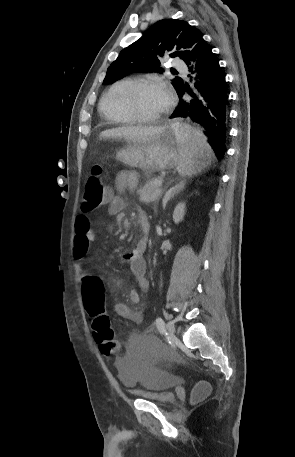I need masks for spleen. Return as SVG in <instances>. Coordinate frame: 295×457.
Instances as JSON below:
<instances>
[{
  "label": "spleen",
  "instance_id": "spleen-1",
  "mask_svg": "<svg viewBox=\"0 0 295 457\" xmlns=\"http://www.w3.org/2000/svg\"><path fill=\"white\" fill-rule=\"evenodd\" d=\"M178 152L180 155L177 171L181 176H192L201 171L205 165V159L212 158L213 152L207 144L202 131L193 129L189 125L174 123Z\"/></svg>",
  "mask_w": 295,
  "mask_h": 457
}]
</instances>
